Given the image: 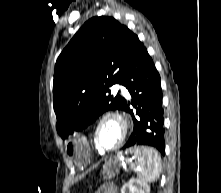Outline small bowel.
<instances>
[{"label":"small bowel","instance_id":"small-bowel-1","mask_svg":"<svg viewBox=\"0 0 221 193\" xmlns=\"http://www.w3.org/2000/svg\"><path fill=\"white\" fill-rule=\"evenodd\" d=\"M95 193H117V189L114 185L108 184L98 189Z\"/></svg>","mask_w":221,"mask_h":193}]
</instances>
